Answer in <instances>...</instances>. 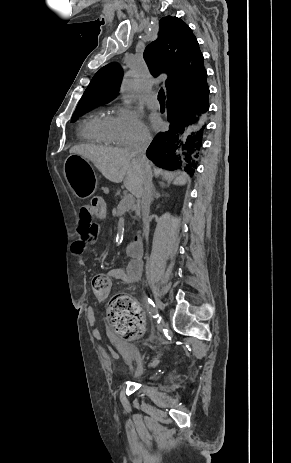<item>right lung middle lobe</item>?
Segmentation results:
<instances>
[{
    "instance_id": "right-lung-middle-lobe-1",
    "label": "right lung middle lobe",
    "mask_w": 291,
    "mask_h": 463,
    "mask_svg": "<svg viewBox=\"0 0 291 463\" xmlns=\"http://www.w3.org/2000/svg\"><path fill=\"white\" fill-rule=\"evenodd\" d=\"M97 105H89V104H84V105H81V106H77L73 116H72V121H74L77 117H79L81 114H83L84 112L92 109L93 107H95Z\"/></svg>"
}]
</instances>
